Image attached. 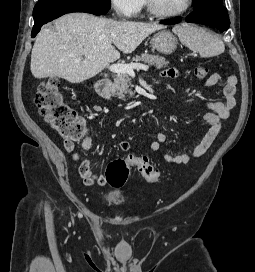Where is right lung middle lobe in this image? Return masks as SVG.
<instances>
[{"instance_id": "dd1d6c3e", "label": "right lung middle lobe", "mask_w": 255, "mask_h": 272, "mask_svg": "<svg viewBox=\"0 0 255 272\" xmlns=\"http://www.w3.org/2000/svg\"><path fill=\"white\" fill-rule=\"evenodd\" d=\"M75 2L90 8H93L102 14H105L109 11L111 7V0H39V2Z\"/></svg>"}]
</instances>
